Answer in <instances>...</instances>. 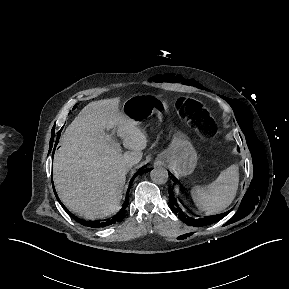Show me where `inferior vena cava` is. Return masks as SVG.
Segmentation results:
<instances>
[{"mask_svg":"<svg viewBox=\"0 0 289 289\" xmlns=\"http://www.w3.org/2000/svg\"><path fill=\"white\" fill-rule=\"evenodd\" d=\"M133 165V162L126 163V165L124 166V170L128 172Z\"/></svg>","mask_w":289,"mask_h":289,"instance_id":"obj_1","label":"inferior vena cava"}]
</instances>
